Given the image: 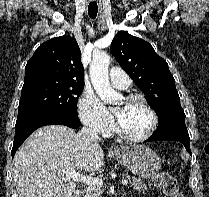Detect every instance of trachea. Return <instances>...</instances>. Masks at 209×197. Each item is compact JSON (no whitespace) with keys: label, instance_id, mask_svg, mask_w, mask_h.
<instances>
[{"label":"trachea","instance_id":"trachea-1","mask_svg":"<svg viewBox=\"0 0 209 197\" xmlns=\"http://www.w3.org/2000/svg\"><path fill=\"white\" fill-rule=\"evenodd\" d=\"M98 12V6L96 2H90L88 5V15L90 18L95 19Z\"/></svg>","mask_w":209,"mask_h":197}]
</instances>
